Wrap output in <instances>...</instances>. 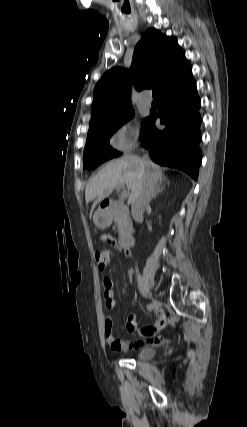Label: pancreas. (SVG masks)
I'll use <instances>...</instances> for the list:
<instances>
[{
	"label": "pancreas",
	"mask_w": 247,
	"mask_h": 427,
	"mask_svg": "<svg viewBox=\"0 0 247 427\" xmlns=\"http://www.w3.org/2000/svg\"><path fill=\"white\" fill-rule=\"evenodd\" d=\"M112 214L115 224L118 227L119 236H125L130 226V218L128 212L122 209L121 207H117L113 210Z\"/></svg>",
	"instance_id": "pancreas-1"
}]
</instances>
